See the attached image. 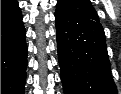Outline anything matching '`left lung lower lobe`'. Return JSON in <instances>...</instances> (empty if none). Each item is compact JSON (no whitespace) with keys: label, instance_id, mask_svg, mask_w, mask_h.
I'll use <instances>...</instances> for the list:
<instances>
[{"label":"left lung lower lobe","instance_id":"1","mask_svg":"<svg viewBox=\"0 0 121 94\" xmlns=\"http://www.w3.org/2000/svg\"><path fill=\"white\" fill-rule=\"evenodd\" d=\"M56 32L64 94H117L104 29L57 2Z\"/></svg>","mask_w":121,"mask_h":94}]
</instances>
